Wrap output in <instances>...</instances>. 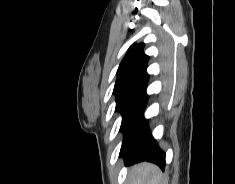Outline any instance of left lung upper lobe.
<instances>
[{
    "instance_id": "left-lung-upper-lobe-1",
    "label": "left lung upper lobe",
    "mask_w": 235,
    "mask_h": 184,
    "mask_svg": "<svg viewBox=\"0 0 235 184\" xmlns=\"http://www.w3.org/2000/svg\"><path fill=\"white\" fill-rule=\"evenodd\" d=\"M144 43L132 45L121 61L113 93L116 96V111L122 114L120 129L124 132L122 148L130 139L135 125L148 100L146 87L149 75L146 72L149 57L143 53Z\"/></svg>"
}]
</instances>
